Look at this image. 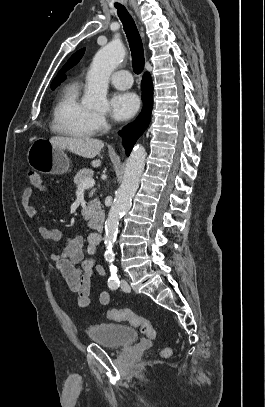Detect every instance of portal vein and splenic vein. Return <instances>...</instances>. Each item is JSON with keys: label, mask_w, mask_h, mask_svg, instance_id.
Returning a JSON list of instances; mask_svg holds the SVG:
<instances>
[{"label": "portal vein and splenic vein", "mask_w": 265, "mask_h": 407, "mask_svg": "<svg viewBox=\"0 0 265 407\" xmlns=\"http://www.w3.org/2000/svg\"><path fill=\"white\" fill-rule=\"evenodd\" d=\"M95 185V180L94 179H86L82 181L80 186L78 187L79 189H89L92 188Z\"/></svg>", "instance_id": "18ae733b"}]
</instances>
